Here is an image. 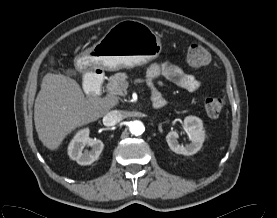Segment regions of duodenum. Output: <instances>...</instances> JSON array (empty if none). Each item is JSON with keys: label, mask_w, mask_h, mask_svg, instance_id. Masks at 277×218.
Here are the masks:
<instances>
[{"label": "duodenum", "mask_w": 277, "mask_h": 218, "mask_svg": "<svg viewBox=\"0 0 277 218\" xmlns=\"http://www.w3.org/2000/svg\"><path fill=\"white\" fill-rule=\"evenodd\" d=\"M104 82L103 71L100 69L92 70L85 77V90L90 97L99 96L102 85ZM154 107L161 108L164 105V101L161 98L154 100Z\"/></svg>", "instance_id": "duodenum-1"}]
</instances>
